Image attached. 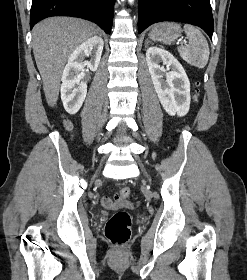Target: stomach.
Segmentation results:
<instances>
[{
  "instance_id": "stomach-1",
  "label": "stomach",
  "mask_w": 247,
  "mask_h": 280,
  "mask_svg": "<svg viewBox=\"0 0 247 280\" xmlns=\"http://www.w3.org/2000/svg\"><path fill=\"white\" fill-rule=\"evenodd\" d=\"M181 35V28L175 23H161L156 25L149 33L153 41L171 43Z\"/></svg>"
}]
</instances>
